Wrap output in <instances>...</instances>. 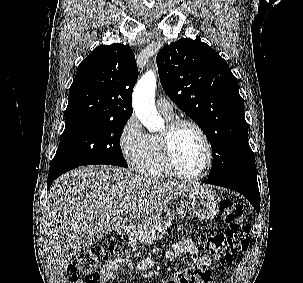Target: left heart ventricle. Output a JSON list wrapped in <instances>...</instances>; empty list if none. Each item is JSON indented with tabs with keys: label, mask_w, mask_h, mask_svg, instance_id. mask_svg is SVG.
<instances>
[{
	"label": "left heart ventricle",
	"mask_w": 303,
	"mask_h": 283,
	"mask_svg": "<svg viewBox=\"0 0 303 283\" xmlns=\"http://www.w3.org/2000/svg\"><path fill=\"white\" fill-rule=\"evenodd\" d=\"M174 152L183 173L197 175L203 171L207 160L206 148L199 134L191 127L180 129L174 140Z\"/></svg>",
	"instance_id": "1"
}]
</instances>
